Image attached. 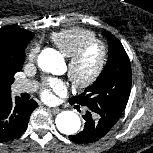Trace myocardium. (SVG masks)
Listing matches in <instances>:
<instances>
[{
    "mask_svg": "<svg viewBox=\"0 0 153 153\" xmlns=\"http://www.w3.org/2000/svg\"><path fill=\"white\" fill-rule=\"evenodd\" d=\"M98 46L100 49V59L93 73L87 78H80L77 75V67L86 52L94 47ZM109 50L107 44L98 38L90 39L81 44L69 57H68V77L71 83L79 89H86L95 84L104 72L108 62Z\"/></svg>",
    "mask_w": 153,
    "mask_h": 153,
    "instance_id": "myocardium-1",
    "label": "myocardium"
}]
</instances>
